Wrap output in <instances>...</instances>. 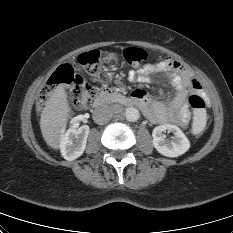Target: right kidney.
Listing matches in <instances>:
<instances>
[{"instance_id":"obj_1","label":"right kidney","mask_w":233,"mask_h":233,"mask_svg":"<svg viewBox=\"0 0 233 233\" xmlns=\"http://www.w3.org/2000/svg\"><path fill=\"white\" fill-rule=\"evenodd\" d=\"M89 130V126L87 125L79 128L72 127L62 135L60 150L64 159L73 161L83 154L86 148Z\"/></svg>"}]
</instances>
